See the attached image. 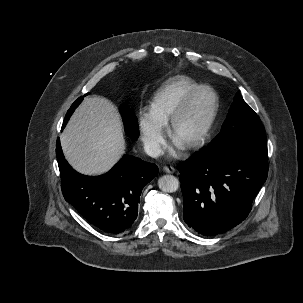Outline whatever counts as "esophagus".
I'll return each mask as SVG.
<instances>
[{
  "label": "esophagus",
  "instance_id": "34e87169",
  "mask_svg": "<svg viewBox=\"0 0 303 303\" xmlns=\"http://www.w3.org/2000/svg\"><path fill=\"white\" fill-rule=\"evenodd\" d=\"M163 170H164V172L169 173V174H172V173L175 172V169L173 167H167V166H165L163 168Z\"/></svg>",
  "mask_w": 303,
  "mask_h": 303
}]
</instances>
